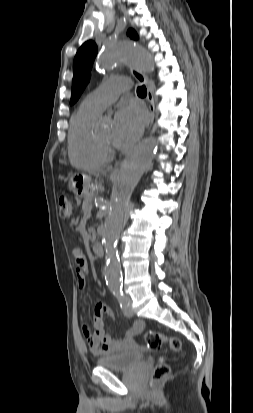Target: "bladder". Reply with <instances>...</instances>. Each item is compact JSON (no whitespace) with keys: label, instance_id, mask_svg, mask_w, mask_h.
Wrapping results in <instances>:
<instances>
[{"label":"bladder","instance_id":"bladder-1","mask_svg":"<svg viewBox=\"0 0 253 413\" xmlns=\"http://www.w3.org/2000/svg\"><path fill=\"white\" fill-rule=\"evenodd\" d=\"M144 360V351L140 348H132L118 353L109 354L96 360L97 365L119 371H128Z\"/></svg>","mask_w":253,"mask_h":413}]
</instances>
